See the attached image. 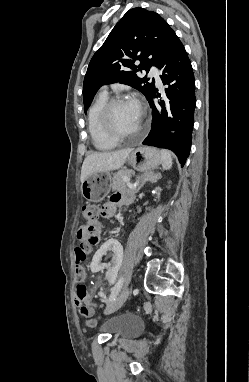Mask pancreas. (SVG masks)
Here are the masks:
<instances>
[{"mask_svg":"<svg viewBox=\"0 0 249 382\" xmlns=\"http://www.w3.org/2000/svg\"><path fill=\"white\" fill-rule=\"evenodd\" d=\"M132 174L131 170L128 169H122L118 172H116L113 175L111 188L112 190H123L126 189V182L123 180L124 177H130Z\"/></svg>","mask_w":249,"mask_h":382,"instance_id":"1","label":"pancreas"}]
</instances>
